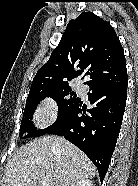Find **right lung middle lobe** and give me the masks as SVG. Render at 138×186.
Masks as SVG:
<instances>
[{"mask_svg": "<svg viewBox=\"0 0 138 186\" xmlns=\"http://www.w3.org/2000/svg\"><path fill=\"white\" fill-rule=\"evenodd\" d=\"M45 97H52L58 102L59 117L54 124L62 120L80 100V98H77L75 92H72L68 85L40 92L29 93L21 122L20 136H22L24 132H27V135H25L24 138L39 137L46 134L47 131L54 125L53 124L46 129H37L30 120L32 119L37 105Z\"/></svg>", "mask_w": 138, "mask_h": 186, "instance_id": "1", "label": "right lung middle lobe"}]
</instances>
